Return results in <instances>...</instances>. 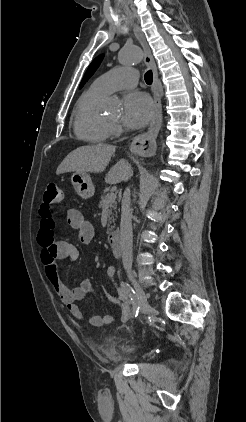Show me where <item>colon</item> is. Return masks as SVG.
Here are the masks:
<instances>
[{
    "label": "colon",
    "mask_w": 246,
    "mask_h": 422,
    "mask_svg": "<svg viewBox=\"0 0 246 422\" xmlns=\"http://www.w3.org/2000/svg\"><path fill=\"white\" fill-rule=\"evenodd\" d=\"M43 199L44 205L48 206L52 213L61 212L64 192L58 184L50 183L45 189Z\"/></svg>",
    "instance_id": "colon-1"
}]
</instances>
